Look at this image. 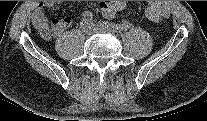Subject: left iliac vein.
<instances>
[{"mask_svg":"<svg viewBox=\"0 0 207 121\" xmlns=\"http://www.w3.org/2000/svg\"><path fill=\"white\" fill-rule=\"evenodd\" d=\"M92 27H93L94 32H112L109 29H105V28H102V27H99V26L92 25Z\"/></svg>","mask_w":207,"mask_h":121,"instance_id":"1","label":"left iliac vein"}]
</instances>
